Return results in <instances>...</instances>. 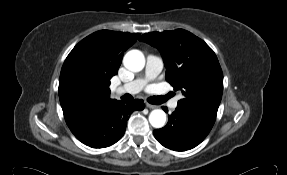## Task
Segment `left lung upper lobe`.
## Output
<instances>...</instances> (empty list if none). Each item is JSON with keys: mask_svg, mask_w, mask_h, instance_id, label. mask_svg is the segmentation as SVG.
<instances>
[{"mask_svg": "<svg viewBox=\"0 0 287 175\" xmlns=\"http://www.w3.org/2000/svg\"><path fill=\"white\" fill-rule=\"evenodd\" d=\"M140 40L161 52L166 80L182 91L177 109L211 130L223 92V74L213 50L183 29L146 33Z\"/></svg>", "mask_w": 287, "mask_h": 175, "instance_id": "obj_1", "label": "left lung upper lobe"}]
</instances>
